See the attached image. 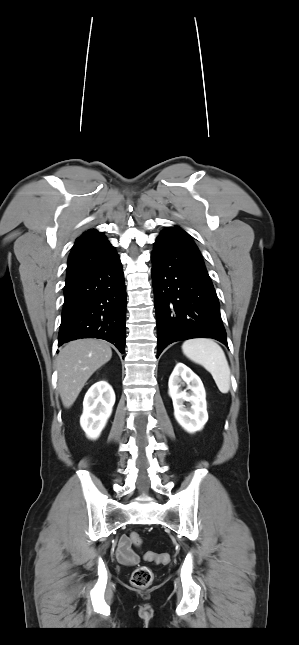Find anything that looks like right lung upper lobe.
I'll return each mask as SVG.
<instances>
[{
  "instance_id": "1",
  "label": "right lung upper lobe",
  "mask_w": 299,
  "mask_h": 645,
  "mask_svg": "<svg viewBox=\"0 0 299 645\" xmlns=\"http://www.w3.org/2000/svg\"><path fill=\"white\" fill-rule=\"evenodd\" d=\"M116 255L114 247L102 232L88 230L77 238L68 258L67 279L83 269L107 261Z\"/></svg>"
}]
</instances>
